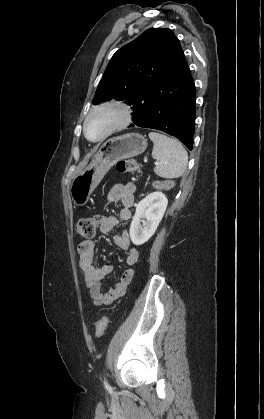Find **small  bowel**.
<instances>
[{"instance_id":"c3829d8e","label":"small bowel","mask_w":264,"mask_h":419,"mask_svg":"<svg viewBox=\"0 0 264 419\" xmlns=\"http://www.w3.org/2000/svg\"><path fill=\"white\" fill-rule=\"evenodd\" d=\"M136 186L132 182L115 184L109 191L107 199L110 202L119 201L122 208L118 216L111 215L102 218L99 224V230L102 233H110L121 221H126L131 217V208L134 205V194ZM115 244L127 252L126 267L119 275L116 283L107 291L102 290V281L111 274L110 265H94V242L85 240L79 243L77 247L79 256V267L83 275L86 287L89 290L90 297L96 306H104L120 298L126 291L128 284L134 275V266L139 259L138 250L131 245L129 234L124 231L113 237Z\"/></svg>"}]
</instances>
